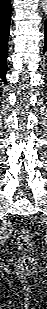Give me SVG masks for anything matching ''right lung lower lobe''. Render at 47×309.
Listing matches in <instances>:
<instances>
[{
  "label": "right lung lower lobe",
  "mask_w": 47,
  "mask_h": 309,
  "mask_svg": "<svg viewBox=\"0 0 47 309\" xmlns=\"http://www.w3.org/2000/svg\"><path fill=\"white\" fill-rule=\"evenodd\" d=\"M11 21V0H0V78L6 83L7 44Z\"/></svg>",
  "instance_id": "98d812e1"
}]
</instances>
